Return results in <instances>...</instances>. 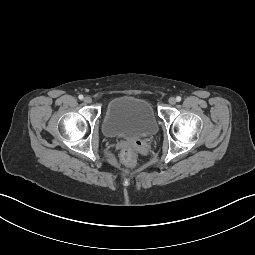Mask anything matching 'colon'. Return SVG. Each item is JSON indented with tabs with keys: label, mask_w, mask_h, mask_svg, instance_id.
I'll use <instances>...</instances> for the list:
<instances>
[{
	"label": "colon",
	"mask_w": 255,
	"mask_h": 255,
	"mask_svg": "<svg viewBox=\"0 0 255 255\" xmlns=\"http://www.w3.org/2000/svg\"><path fill=\"white\" fill-rule=\"evenodd\" d=\"M137 144L136 143H125L120 150V157L122 163L132 168L136 164V158H137Z\"/></svg>",
	"instance_id": "1"
}]
</instances>
